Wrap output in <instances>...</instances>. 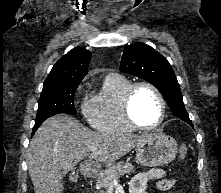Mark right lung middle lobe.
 Masks as SVG:
<instances>
[{
  "label": "right lung middle lobe",
  "instance_id": "1",
  "mask_svg": "<svg viewBox=\"0 0 221 193\" xmlns=\"http://www.w3.org/2000/svg\"><path fill=\"white\" fill-rule=\"evenodd\" d=\"M77 87L78 86L43 89L39 100L35 124L42 123L47 118L60 113L76 114L74 95Z\"/></svg>",
  "mask_w": 221,
  "mask_h": 193
}]
</instances>
